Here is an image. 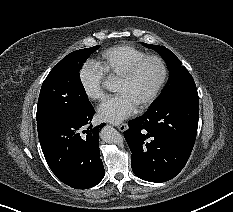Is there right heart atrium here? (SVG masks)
<instances>
[{
    "mask_svg": "<svg viewBox=\"0 0 233 212\" xmlns=\"http://www.w3.org/2000/svg\"><path fill=\"white\" fill-rule=\"evenodd\" d=\"M104 78V73L96 63L89 61L83 64L79 72V81L87 98L93 101L103 98Z\"/></svg>",
    "mask_w": 233,
    "mask_h": 212,
    "instance_id": "1",
    "label": "right heart atrium"
}]
</instances>
